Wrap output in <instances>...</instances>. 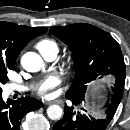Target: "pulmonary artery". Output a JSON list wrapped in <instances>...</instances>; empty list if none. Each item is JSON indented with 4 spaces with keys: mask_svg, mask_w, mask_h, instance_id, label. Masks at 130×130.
<instances>
[{
    "mask_svg": "<svg viewBox=\"0 0 130 130\" xmlns=\"http://www.w3.org/2000/svg\"><path fill=\"white\" fill-rule=\"evenodd\" d=\"M57 56V52L52 51L49 52L47 54H45L43 57L47 60V61H53L55 60ZM27 88L24 86H19V85H15V84H9L7 86V90L8 92H13V91H25Z\"/></svg>",
    "mask_w": 130,
    "mask_h": 130,
    "instance_id": "obj_1",
    "label": "pulmonary artery"
}]
</instances>
